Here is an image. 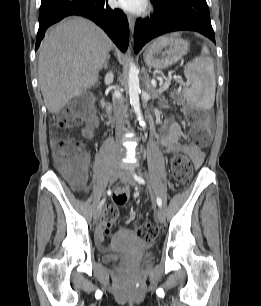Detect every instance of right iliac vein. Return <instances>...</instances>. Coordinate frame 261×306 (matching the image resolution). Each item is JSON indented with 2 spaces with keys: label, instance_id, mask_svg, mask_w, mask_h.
Segmentation results:
<instances>
[{
  "label": "right iliac vein",
  "instance_id": "obj_1",
  "mask_svg": "<svg viewBox=\"0 0 261 306\" xmlns=\"http://www.w3.org/2000/svg\"><path fill=\"white\" fill-rule=\"evenodd\" d=\"M119 174H120L119 166L117 164L113 165L110 169V183L115 182L119 177ZM101 213H102V207L99 206L94 213V219L98 220L101 216Z\"/></svg>",
  "mask_w": 261,
  "mask_h": 306
}]
</instances>
